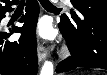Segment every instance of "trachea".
<instances>
[{"label":"trachea","mask_w":107,"mask_h":75,"mask_svg":"<svg viewBox=\"0 0 107 75\" xmlns=\"http://www.w3.org/2000/svg\"><path fill=\"white\" fill-rule=\"evenodd\" d=\"M40 4L44 7V8H48V9H57L49 0H39ZM24 2H21V4H23Z\"/></svg>","instance_id":"obj_1"}]
</instances>
